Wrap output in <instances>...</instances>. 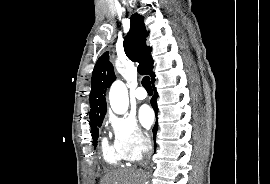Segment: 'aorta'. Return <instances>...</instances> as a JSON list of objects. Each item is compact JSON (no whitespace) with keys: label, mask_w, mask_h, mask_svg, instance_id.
<instances>
[{"label":"aorta","mask_w":270,"mask_h":184,"mask_svg":"<svg viewBox=\"0 0 270 184\" xmlns=\"http://www.w3.org/2000/svg\"><path fill=\"white\" fill-rule=\"evenodd\" d=\"M109 102L116 114H124L129 106L128 90L122 81H115L109 91Z\"/></svg>","instance_id":"aorta-1"}]
</instances>
